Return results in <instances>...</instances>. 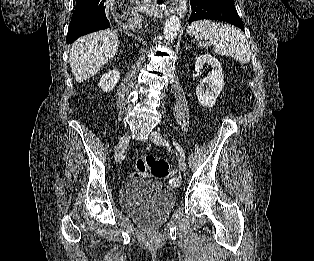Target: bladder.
<instances>
[{"mask_svg": "<svg viewBox=\"0 0 314 261\" xmlns=\"http://www.w3.org/2000/svg\"><path fill=\"white\" fill-rule=\"evenodd\" d=\"M119 197L123 210L148 226L166 221L176 203L174 189L149 179L124 184Z\"/></svg>", "mask_w": 314, "mask_h": 261, "instance_id": "bladder-1", "label": "bladder"}]
</instances>
